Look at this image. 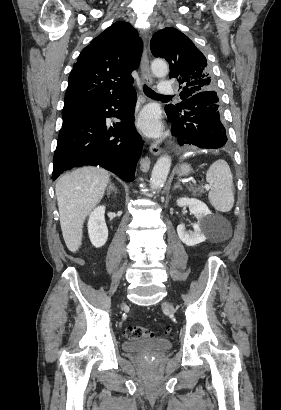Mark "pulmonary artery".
I'll return each instance as SVG.
<instances>
[{
    "instance_id": "e3ab8cb5",
    "label": "pulmonary artery",
    "mask_w": 281,
    "mask_h": 410,
    "mask_svg": "<svg viewBox=\"0 0 281 410\" xmlns=\"http://www.w3.org/2000/svg\"><path fill=\"white\" fill-rule=\"evenodd\" d=\"M175 91V86L171 82H163L159 86V92L161 94H172Z\"/></svg>"
}]
</instances>
